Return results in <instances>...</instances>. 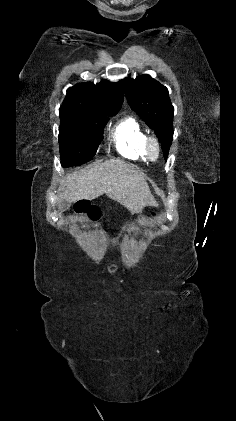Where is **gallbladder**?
Returning a JSON list of instances; mask_svg holds the SVG:
<instances>
[{
  "instance_id": "1",
  "label": "gallbladder",
  "mask_w": 236,
  "mask_h": 421,
  "mask_svg": "<svg viewBox=\"0 0 236 421\" xmlns=\"http://www.w3.org/2000/svg\"><path fill=\"white\" fill-rule=\"evenodd\" d=\"M58 208H60V211H67V208H70L71 202L70 200H65V198H61V200H58L57 202Z\"/></svg>"
}]
</instances>
